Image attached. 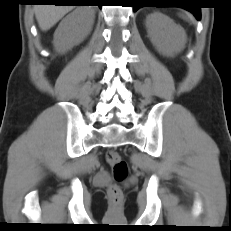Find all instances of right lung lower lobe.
<instances>
[{
  "label": "right lung lower lobe",
  "instance_id": "1",
  "mask_svg": "<svg viewBox=\"0 0 231 231\" xmlns=\"http://www.w3.org/2000/svg\"><path fill=\"white\" fill-rule=\"evenodd\" d=\"M79 0H36L39 3H54L55 5H76Z\"/></svg>",
  "mask_w": 231,
  "mask_h": 231
}]
</instances>
